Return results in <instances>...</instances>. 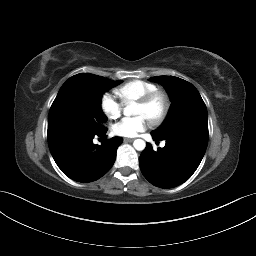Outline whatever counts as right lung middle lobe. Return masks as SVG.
Wrapping results in <instances>:
<instances>
[{
	"label": "right lung middle lobe",
	"mask_w": 256,
	"mask_h": 256,
	"mask_svg": "<svg viewBox=\"0 0 256 256\" xmlns=\"http://www.w3.org/2000/svg\"><path fill=\"white\" fill-rule=\"evenodd\" d=\"M72 78L74 89L57 95L50 108L48 128H70L85 133L105 129L103 123L107 117L101 109L102 95L122 81L90 73H80Z\"/></svg>",
	"instance_id": "1"
}]
</instances>
